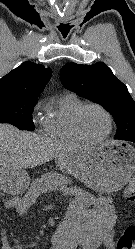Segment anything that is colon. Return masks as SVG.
Listing matches in <instances>:
<instances>
[{
	"label": "colon",
	"instance_id": "colon-1",
	"mask_svg": "<svg viewBox=\"0 0 135 249\" xmlns=\"http://www.w3.org/2000/svg\"><path fill=\"white\" fill-rule=\"evenodd\" d=\"M125 199L135 203V176L127 183L124 189ZM135 243V225L127 227L116 243V249H132Z\"/></svg>",
	"mask_w": 135,
	"mask_h": 249
}]
</instances>
